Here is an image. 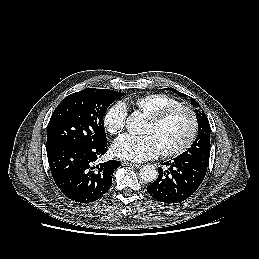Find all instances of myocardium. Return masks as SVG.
<instances>
[{"instance_id": "obj_1", "label": "myocardium", "mask_w": 259, "mask_h": 259, "mask_svg": "<svg viewBox=\"0 0 259 259\" xmlns=\"http://www.w3.org/2000/svg\"><path fill=\"white\" fill-rule=\"evenodd\" d=\"M180 110L188 113V115L190 117V120H191L190 132H189L188 136L186 137V139L181 144H179L177 147L169 149V150H160L159 154L164 157L179 156L182 153H184L192 145V143L194 142V140L197 136L198 129H199V122H198L197 115L191 107L180 103V104H175V105L166 107V108L156 112L155 114L151 115L150 117H148V122L152 126H158L163 121H165L169 116H171L172 114H174L175 112L180 111Z\"/></svg>"}]
</instances>
